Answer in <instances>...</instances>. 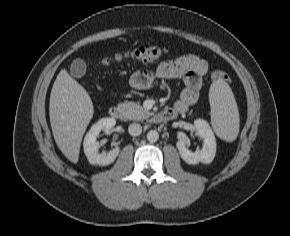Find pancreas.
Here are the masks:
<instances>
[{
  "label": "pancreas",
  "mask_w": 290,
  "mask_h": 236,
  "mask_svg": "<svg viewBox=\"0 0 290 236\" xmlns=\"http://www.w3.org/2000/svg\"><path fill=\"white\" fill-rule=\"evenodd\" d=\"M118 109L122 112L125 118L130 120H144L151 115L149 111L134 102L119 103Z\"/></svg>",
  "instance_id": "1"
}]
</instances>
